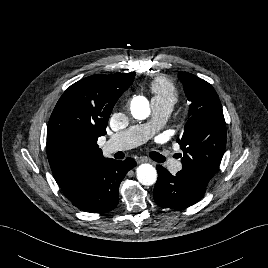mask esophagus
I'll list each match as a JSON object with an SVG mask.
<instances>
[{"label":"esophagus","mask_w":268,"mask_h":268,"mask_svg":"<svg viewBox=\"0 0 268 268\" xmlns=\"http://www.w3.org/2000/svg\"><path fill=\"white\" fill-rule=\"evenodd\" d=\"M150 160L145 157V156H140L137 160V163L140 164V163H145V162H149Z\"/></svg>","instance_id":"esophagus-1"}]
</instances>
